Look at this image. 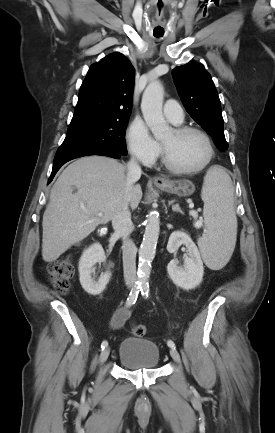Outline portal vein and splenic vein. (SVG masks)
<instances>
[{
	"instance_id": "obj_1",
	"label": "portal vein and splenic vein",
	"mask_w": 275,
	"mask_h": 433,
	"mask_svg": "<svg viewBox=\"0 0 275 433\" xmlns=\"http://www.w3.org/2000/svg\"><path fill=\"white\" fill-rule=\"evenodd\" d=\"M99 216H102L101 213L98 214ZM190 215L193 216L195 219L198 218V214L195 211H191ZM195 227L200 228L202 226V219L200 218L198 221L195 222L194 224Z\"/></svg>"
}]
</instances>
